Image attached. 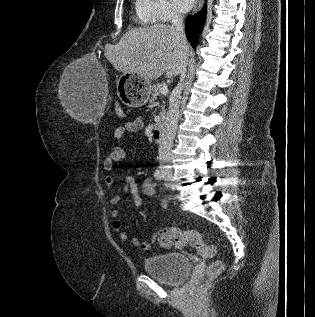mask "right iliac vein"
Instances as JSON below:
<instances>
[{
  "label": "right iliac vein",
  "instance_id": "1",
  "mask_svg": "<svg viewBox=\"0 0 315 317\" xmlns=\"http://www.w3.org/2000/svg\"><path fill=\"white\" fill-rule=\"evenodd\" d=\"M163 177L165 178L166 181L169 182V184H170V186H171L172 189H175V188L177 187V185L172 182V179H171V175H170V174L164 172V173H163Z\"/></svg>",
  "mask_w": 315,
  "mask_h": 317
}]
</instances>
